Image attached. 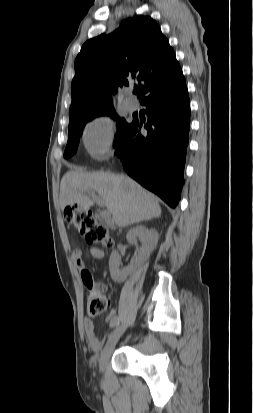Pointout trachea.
Instances as JSON below:
<instances>
[{"label": "trachea", "mask_w": 253, "mask_h": 413, "mask_svg": "<svg viewBox=\"0 0 253 413\" xmlns=\"http://www.w3.org/2000/svg\"><path fill=\"white\" fill-rule=\"evenodd\" d=\"M135 93H138V90H134Z\"/></svg>", "instance_id": "trachea-1"}]
</instances>
